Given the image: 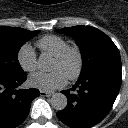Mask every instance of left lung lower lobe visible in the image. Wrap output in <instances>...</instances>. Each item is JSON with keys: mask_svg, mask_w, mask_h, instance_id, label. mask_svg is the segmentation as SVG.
Wrapping results in <instances>:
<instances>
[{"mask_svg": "<svg viewBox=\"0 0 128 128\" xmlns=\"http://www.w3.org/2000/svg\"><path fill=\"white\" fill-rule=\"evenodd\" d=\"M121 65L107 63L96 66L79 77L71 90H63L68 104L57 117L71 128H89L101 122L110 112L119 93Z\"/></svg>", "mask_w": 128, "mask_h": 128, "instance_id": "left-lung-lower-lobe-1", "label": "left lung lower lobe"}]
</instances>
